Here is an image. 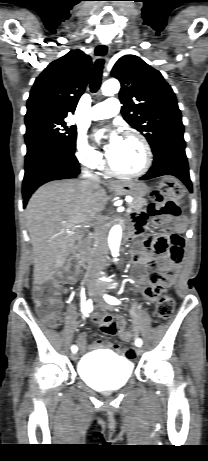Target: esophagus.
<instances>
[{
  "label": "esophagus",
  "mask_w": 208,
  "mask_h": 461,
  "mask_svg": "<svg viewBox=\"0 0 208 461\" xmlns=\"http://www.w3.org/2000/svg\"><path fill=\"white\" fill-rule=\"evenodd\" d=\"M98 52H104L106 59H108L109 54H110V46L108 44H101L100 47L98 48ZM113 185V184H110Z\"/></svg>",
  "instance_id": "1"
}]
</instances>
